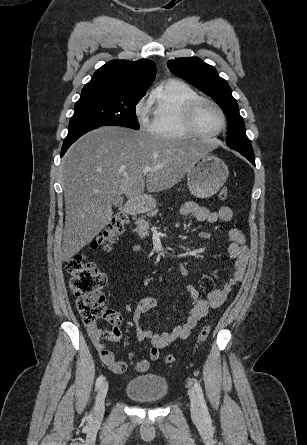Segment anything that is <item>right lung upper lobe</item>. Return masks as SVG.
I'll return each instance as SVG.
<instances>
[{"label": "right lung upper lobe", "mask_w": 307, "mask_h": 445, "mask_svg": "<svg viewBox=\"0 0 307 445\" xmlns=\"http://www.w3.org/2000/svg\"><path fill=\"white\" fill-rule=\"evenodd\" d=\"M156 75L154 62L112 60L99 68L83 87L81 96L120 95L143 97Z\"/></svg>", "instance_id": "1"}]
</instances>
